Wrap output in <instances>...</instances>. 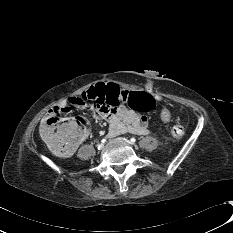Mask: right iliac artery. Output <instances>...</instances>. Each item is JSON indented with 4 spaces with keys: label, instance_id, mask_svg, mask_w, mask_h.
<instances>
[{
    "label": "right iliac artery",
    "instance_id": "82829eb1",
    "mask_svg": "<svg viewBox=\"0 0 233 233\" xmlns=\"http://www.w3.org/2000/svg\"><path fill=\"white\" fill-rule=\"evenodd\" d=\"M102 143H105L106 142V139L104 138V139H102V141H101Z\"/></svg>",
    "mask_w": 233,
    "mask_h": 233
}]
</instances>
